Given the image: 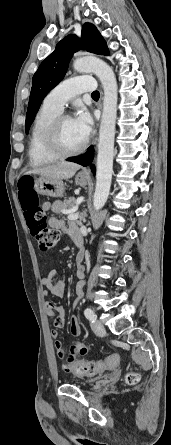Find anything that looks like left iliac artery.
<instances>
[{
	"mask_svg": "<svg viewBox=\"0 0 171 445\" xmlns=\"http://www.w3.org/2000/svg\"><path fill=\"white\" fill-rule=\"evenodd\" d=\"M84 315L86 316L87 319H89L91 322H95L96 320V315L93 312V310H91L90 308H86L84 310Z\"/></svg>",
	"mask_w": 171,
	"mask_h": 445,
	"instance_id": "44dca946",
	"label": "left iliac artery"
}]
</instances>
